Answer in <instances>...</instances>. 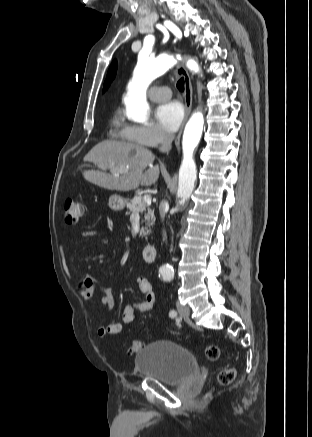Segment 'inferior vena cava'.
Masks as SVG:
<instances>
[{
  "label": "inferior vena cava",
  "mask_w": 312,
  "mask_h": 437,
  "mask_svg": "<svg viewBox=\"0 0 312 437\" xmlns=\"http://www.w3.org/2000/svg\"><path fill=\"white\" fill-rule=\"evenodd\" d=\"M173 137L174 136L172 134H170V133H165L163 135V140L161 142V147L159 148L160 151L167 152V151H169L171 149V143H172ZM165 206H166V202L165 201H162L160 203V206H159L160 218L162 220H164V217H165V212H164ZM166 239H167V236H166V233L164 231L163 232V240H166Z\"/></svg>",
  "instance_id": "1"
}]
</instances>
